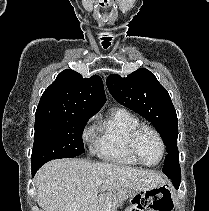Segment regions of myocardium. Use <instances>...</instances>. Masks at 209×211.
<instances>
[{"instance_id":"1","label":"myocardium","mask_w":209,"mask_h":211,"mask_svg":"<svg viewBox=\"0 0 209 211\" xmlns=\"http://www.w3.org/2000/svg\"><path fill=\"white\" fill-rule=\"evenodd\" d=\"M144 131H149L151 132L159 141L160 147H161V156L160 159L158 160V162L154 163V164H148L146 163L140 156L138 149H137V143H138V139L141 135L142 132ZM128 149L131 153V155L134 157V159L141 165H144L146 167H155L157 165H159L162 160L164 159L165 156V152H166V146H165V142L161 136V134L153 127L150 126L148 124H143L140 123L138 124L130 133L129 138H128Z\"/></svg>"}]
</instances>
